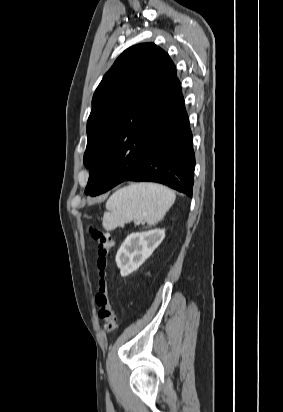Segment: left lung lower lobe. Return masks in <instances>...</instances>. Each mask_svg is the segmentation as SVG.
Listing matches in <instances>:
<instances>
[{
  "label": "left lung lower lobe",
  "mask_w": 283,
  "mask_h": 412,
  "mask_svg": "<svg viewBox=\"0 0 283 412\" xmlns=\"http://www.w3.org/2000/svg\"><path fill=\"white\" fill-rule=\"evenodd\" d=\"M101 164L94 176L98 195L124 181H152L192 197L195 156L182 92L155 127L138 160L108 153Z\"/></svg>",
  "instance_id": "left-lung-lower-lobe-1"
}]
</instances>
